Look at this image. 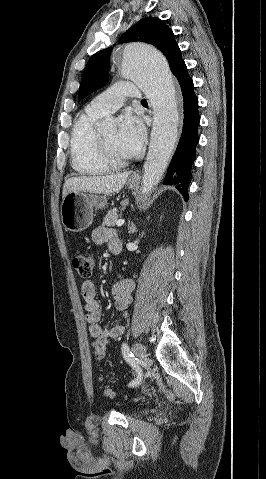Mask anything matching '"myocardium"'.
<instances>
[{"label":"myocardium","instance_id":"obj_1","mask_svg":"<svg viewBox=\"0 0 266 479\" xmlns=\"http://www.w3.org/2000/svg\"><path fill=\"white\" fill-rule=\"evenodd\" d=\"M98 149L101 159L111 168L119 169L128 164L127 158L121 159L116 157L108 147L101 133L97 134Z\"/></svg>","mask_w":266,"mask_h":479}]
</instances>
